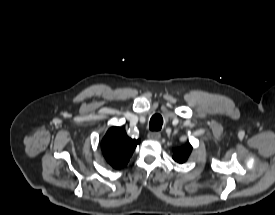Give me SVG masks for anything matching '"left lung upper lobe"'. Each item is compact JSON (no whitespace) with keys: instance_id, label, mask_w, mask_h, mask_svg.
I'll list each match as a JSON object with an SVG mask.
<instances>
[{"instance_id":"5c2ea615","label":"left lung upper lobe","mask_w":275,"mask_h":215,"mask_svg":"<svg viewBox=\"0 0 275 215\" xmlns=\"http://www.w3.org/2000/svg\"><path fill=\"white\" fill-rule=\"evenodd\" d=\"M191 151H192L191 145H185L181 148H178L174 152L173 159L178 163H184L188 159Z\"/></svg>"}]
</instances>
